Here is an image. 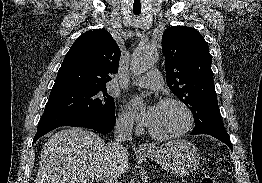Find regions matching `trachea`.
<instances>
[{
    "instance_id": "1",
    "label": "trachea",
    "mask_w": 262,
    "mask_h": 183,
    "mask_svg": "<svg viewBox=\"0 0 262 183\" xmlns=\"http://www.w3.org/2000/svg\"><path fill=\"white\" fill-rule=\"evenodd\" d=\"M134 14H135L136 16H138V15L140 14V12L134 11Z\"/></svg>"
}]
</instances>
